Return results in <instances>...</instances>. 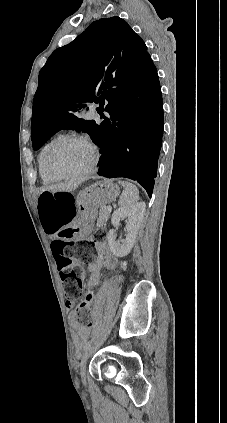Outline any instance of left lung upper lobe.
I'll return each mask as SVG.
<instances>
[{
  "mask_svg": "<svg viewBox=\"0 0 227 423\" xmlns=\"http://www.w3.org/2000/svg\"><path fill=\"white\" fill-rule=\"evenodd\" d=\"M155 70L144 41L123 19L93 22L74 41L56 49L39 72L33 149L61 129L83 131L95 140L99 124L79 118V111L91 103L100 105L98 111L131 109Z\"/></svg>",
  "mask_w": 227,
  "mask_h": 423,
  "instance_id": "left-lung-upper-lobe-1",
  "label": "left lung upper lobe"
}]
</instances>
